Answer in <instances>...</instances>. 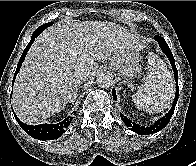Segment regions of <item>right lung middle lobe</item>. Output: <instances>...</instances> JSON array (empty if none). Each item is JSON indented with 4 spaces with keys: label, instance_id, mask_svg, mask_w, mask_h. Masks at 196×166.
Here are the masks:
<instances>
[{
    "label": "right lung middle lobe",
    "instance_id": "1",
    "mask_svg": "<svg viewBox=\"0 0 196 166\" xmlns=\"http://www.w3.org/2000/svg\"><path fill=\"white\" fill-rule=\"evenodd\" d=\"M52 24H53V22H48L46 24H43L42 26L38 27L35 31L36 32H43L44 29L51 26Z\"/></svg>",
    "mask_w": 196,
    "mask_h": 166
}]
</instances>
